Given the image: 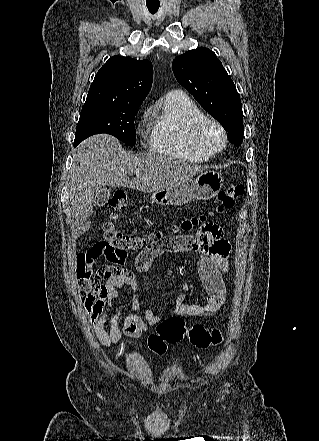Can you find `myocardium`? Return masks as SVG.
Masks as SVG:
<instances>
[{"instance_id": "1", "label": "myocardium", "mask_w": 319, "mask_h": 441, "mask_svg": "<svg viewBox=\"0 0 319 441\" xmlns=\"http://www.w3.org/2000/svg\"><path fill=\"white\" fill-rule=\"evenodd\" d=\"M212 129L216 130L220 136V141L217 145L211 144L208 140V133ZM227 142L228 136L225 128L215 119L206 117L198 121L193 127L192 143L201 151L214 155L221 152L226 147Z\"/></svg>"}]
</instances>
